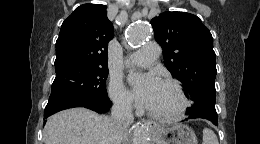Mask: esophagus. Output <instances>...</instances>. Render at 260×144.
Wrapping results in <instances>:
<instances>
[{
  "label": "esophagus",
  "mask_w": 260,
  "mask_h": 144,
  "mask_svg": "<svg viewBox=\"0 0 260 144\" xmlns=\"http://www.w3.org/2000/svg\"><path fill=\"white\" fill-rule=\"evenodd\" d=\"M146 125L150 128V130H152L153 129V126L151 125V123L150 122H146Z\"/></svg>",
  "instance_id": "1"
}]
</instances>
